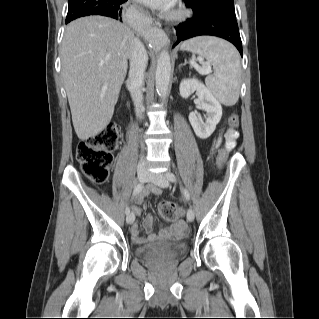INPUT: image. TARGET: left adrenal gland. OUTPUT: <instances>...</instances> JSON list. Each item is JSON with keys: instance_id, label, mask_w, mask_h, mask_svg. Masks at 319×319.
<instances>
[{"instance_id": "1", "label": "left adrenal gland", "mask_w": 319, "mask_h": 319, "mask_svg": "<svg viewBox=\"0 0 319 319\" xmlns=\"http://www.w3.org/2000/svg\"><path fill=\"white\" fill-rule=\"evenodd\" d=\"M187 64V61H185L183 64H181L180 66H179V68H181L182 66H185Z\"/></svg>"}]
</instances>
